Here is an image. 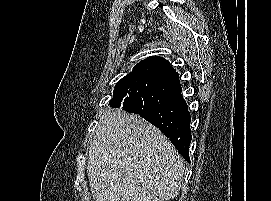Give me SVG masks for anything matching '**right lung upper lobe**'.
Segmentation results:
<instances>
[{
  "label": "right lung upper lobe",
  "instance_id": "1",
  "mask_svg": "<svg viewBox=\"0 0 271 201\" xmlns=\"http://www.w3.org/2000/svg\"><path fill=\"white\" fill-rule=\"evenodd\" d=\"M163 58L162 57H149L147 59L142 60L139 62L135 67L133 68V71H149L151 68L156 65L158 62H160Z\"/></svg>",
  "mask_w": 271,
  "mask_h": 201
}]
</instances>
